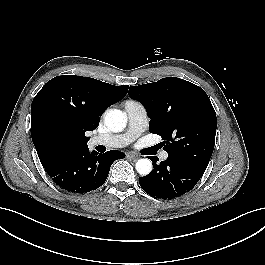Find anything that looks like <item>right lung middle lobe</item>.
Here are the masks:
<instances>
[{
	"label": "right lung middle lobe",
	"instance_id": "right-lung-middle-lobe-1",
	"mask_svg": "<svg viewBox=\"0 0 265 265\" xmlns=\"http://www.w3.org/2000/svg\"><path fill=\"white\" fill-rule=\"evenodd\" d=\"M64 152L63 141L56 136L51 137L47 142L44 156L47 159L55 158Z\"/></svg>",
	"mask_w": 265,
	"mask_h": 265
}]
</instances>
